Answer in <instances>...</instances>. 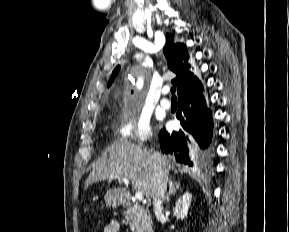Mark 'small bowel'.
<instances>
[{
  "label": "small bowel",
  "mask_w": 289,
  "mask_h": 232,
  "mask_svg": "<svg viewBox=\"0 0 289 232\" xmlns=\"http://www.w3.org/2000/svg\"><path fill=\"white\" fill-rule=\"evenodd\" d=\"M120 225L117 221H111L105 227L103 232H119Z\"/></svg>",
  "instance_id": "c3829d8e"
}]
</instances>
